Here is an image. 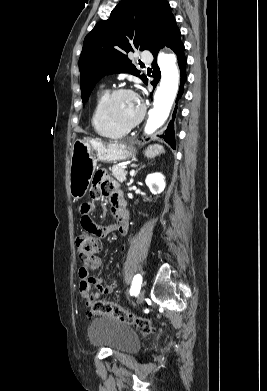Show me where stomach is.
Returning a JSON list of instances; mask_svg holds the SVG:
<instances>
[{"label":"stomach","mask_w":267,"mask_h":391,"mask_svg":"<svg viewBox=\"0 0 267 391\" xmlns=\"http://www.w3.org/2000/svg\"><path fill=\"white\" fill-rule=\"evenodd\" d=\"M133 155V149L126 144H104L90 138L76 140L72 146L69 172L72 198L78 200L87 193L97 161L118 162Z\"/></svg>","instance_id":"1"}]
</instances>
